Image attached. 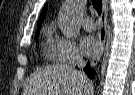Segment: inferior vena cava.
<instances>
[{
    "mask_svg": "<svg viewBox=\"0 0 135 95\" xmlns=\"http://www.w3.org/2000/svg\"><path fill=\"white\" fill-rule=\"evenodd\" d=\"M86 65V62L83 60V57L79 54V53H76L73 58H72V62L70 64V67L71 68H75V67H78L80 70L77 71L81 76H84L85 77V73L83 72V68L85 67Z\"/></svg>",
    "mask_w": 135,
    "mask_h": 95,
    "instance_id": "inferior-vena-cava-1",
    "label": "inferior vena cava"
}]
</instances>
